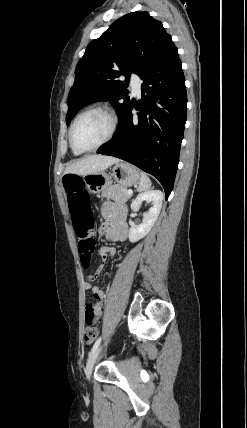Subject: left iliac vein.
Instances as JSON below:
<instances>
[{"label":"left iliac vein","instance_id":"1","mask_svg":"<svg viewBox=\"0 0 247 428\" xmlns=\"http://www.w3.org/2000/svg\"><path fill=\"white\" fill-rule=\"evenodd\" d=\"M101 347H98L89 357L88 362L86 364L85 368V374L88 380H90L92 370L94 368V365L96 363V360L100 354Z\"/></svg>","mask_w":247,"mask_h":428}]
</instances>
